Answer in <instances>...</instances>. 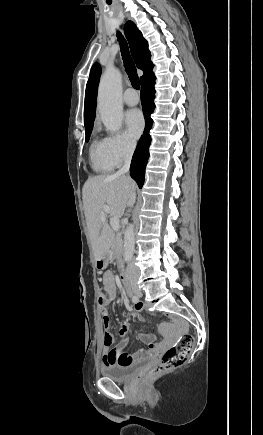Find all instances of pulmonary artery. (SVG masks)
<instances>
[{"label": "pulmonary artery", "mask_w": 263, "mask_h": 435, "mask_svg": "<svg viewBox=\"0 0 263 435\" xmlns=\"http://www.w3.org/2000/svg\"><path fill=\"white\" fill-rule=\"evenodd\" d=\"M124 103L128 106H135L139 103V96L134 89L126 90L124 94Z\"/></svg>", "instance_id": "pulmonary-artery-1"}]
</instances>
